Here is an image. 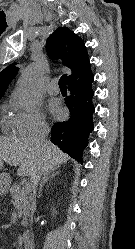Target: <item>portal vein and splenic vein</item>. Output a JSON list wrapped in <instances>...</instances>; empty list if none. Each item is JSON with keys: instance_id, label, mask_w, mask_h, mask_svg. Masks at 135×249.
I'll return each mask as SVG.
<instances>
[{"instance_id": "1", "label": "portal vein and splenic vein", "mask_w": 135, "mask_h": 249, "mask_svg": "<svg viewBox=\"0 0 135 249\" xmlns=\"http://www.w3.org/2000/svg\"><path fill=\"white\" fill-rule=\"evenodd\" d=\"M23 188H24V190L26 192H30V186L29 185H25Z\"/></svg>"}]
</instances>
